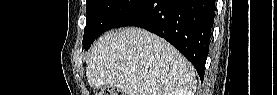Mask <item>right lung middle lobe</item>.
Here are the masks:
<instances>
[{
	"instance_id": "dd1d6c3e",
	"label": "right lung middle lobe",
	"mask_w": 277,
	"mask_h": 95,
	"mask_svg": "<svg viewBox=\"0 0 277 95\" xmlns=\"http://www.w3.org/2000/svg\"><path fill=\"white\" fill-rule=\"evenodd\" d=\"M143 0H87V20L84 29L85 49L103 32L115 27Z\"/></svg>"
}]
</instances>
